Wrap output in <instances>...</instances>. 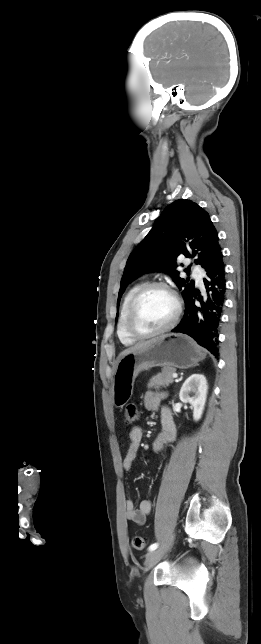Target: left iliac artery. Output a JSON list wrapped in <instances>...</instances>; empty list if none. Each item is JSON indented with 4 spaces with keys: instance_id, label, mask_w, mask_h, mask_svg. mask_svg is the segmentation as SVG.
<instances>
[{
    "instance_id": "1",
    "label": "left iliac artery",
    "mask_w": 261,
    "mask_h": 644,
    "mask_svg": "<svg viewBox=\"0 0 261 644\" xmlns=\"http://www.w3.org/2000/svg\"><path fill=\"white\" fill-rule=\"evenodd\" d=\"M158 548V543H153L149 546L148 550L153 551Z\"/></svg>"
}]
</instances>
